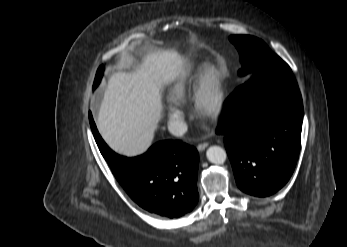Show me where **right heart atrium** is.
Segmentation results:
<instances>
[{"mask_svg":"<svg viewBox=\"0 0 347 247\" xmlns=\"http://www.w3.org/2000/svg\"><path fill=\"white\" fill-rule=\"evenodd\" d=\"M167 117L169 121L174 125H179L183 118V111L178 107L176 103H171L166 110Z\"/></svg>","mask_w":347,"mask_h":247,"instance_id":"obj_1","label":"right heart atrium"}]
</instances>
